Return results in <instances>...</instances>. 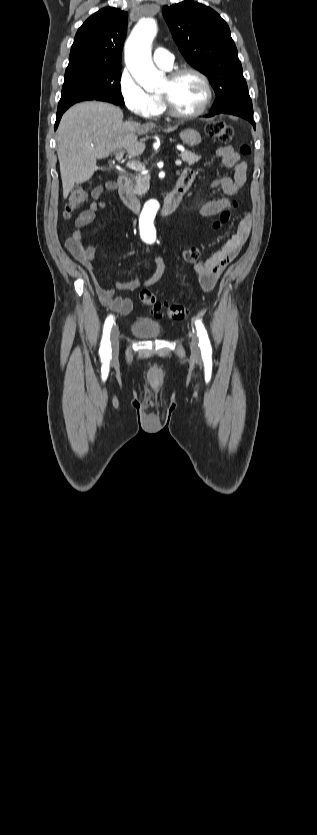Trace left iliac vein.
I'll return each mask as SVG.
<instances>
[{
  "label": "left iliac vein",
  "instance_id": "obj_1",
  "mask_svg": "<svg viewBox=\"0 0 317 835\" xmlns=\"http://www.w3.org/2000/svg\"><path fill=\"white\" fill-rule=\"evenodd\" d=\"M191 353L195 358L200 356V348H199V341L198 337L195 333L191 335V343H190Z\"/></svg>",
  "mask_w": 317,
  "mask_h": 835
}]
</instances>
